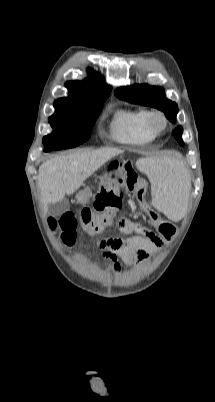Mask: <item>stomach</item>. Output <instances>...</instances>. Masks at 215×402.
<instances>
[{"mask_svg": "<svg viewBox=\"0 0 215 402\" xmlns=\"http://www.w3.org/2000/svg\"><path fill=\"white\" fill-rule=\"evenodd\" d=\"M123 171L124 169L123 167H120V165H118V167L115 169H111L110 171H104L102 176H100L99 186L106 184L108 181L112 180L113 176L120 175L123 173ZM91 196L92 192L90 188H85L76 195V198L78 202L85 204L89 201Z\"/></svg>", "mask_w": 215, "mask_h": 402, "instance_id": "0dacf381", "label": "stomach"}]
</instances>
